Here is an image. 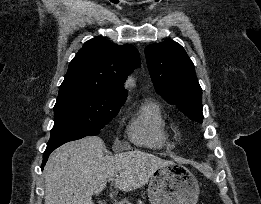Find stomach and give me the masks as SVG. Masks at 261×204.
Wrapping results in <instances>:
<instances>
[{"label": "stomach", "instance_id": "1", "mask_svg": "<svg viewBox=\"0 0 261 204\" xmlns=\"http://www.w3.org/2000/svg\"><path fill=\"white\" fill-rule=\"evenodd\" d=\"M147 191L151 204H196L200 192L192 172L172 161L153 172Z\"/></svg>", "mask_w": 261, "mask_h": 204}]
</instances>
